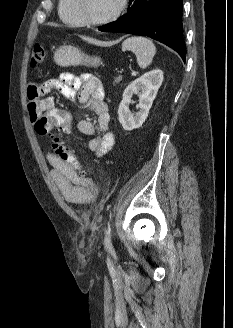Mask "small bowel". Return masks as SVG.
<instances>
[{
    "mask_svg": "<svg viewBox=\"0 0 233 328\" xmlns=\"http://www.w3.org/2000/svg\"><path fill=\"white\" fill-rule=\"evenodd\" d=\"M53 89L73 100L79 107L88 108L97 115L99 135L89 120L79 121L78 130L90 137L88 146L95 155L102 157L107 154L114 146L115 133L110 126L111 116L104 102V89L100 80L91 74L75 77L70 73H61L58 78L42 83H31L27 88V94L28 112L33 121L44 112L55 109L52 98L43 97ZM46 158L52 166L51 177L66 200L87 203L96 198L98 188L91 178L76 173L51 152L46 154Z\"/></svg>",
    "mask_w": 233,
    "mask_h": 328,
    "instance_id": "c3829d8e",
    "label": "small bowel"
}]
</instances>
